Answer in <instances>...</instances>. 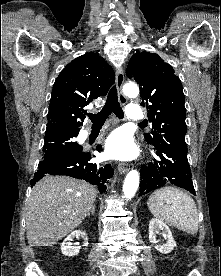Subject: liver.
Segmentation results:
<instances>
[{
    "label": "liver",
    "mask_w": 221,
    "mask_h": 276,
    "mask_svg": "<svg viewBox=\"0 0 221 276\" xmlns=\"http://www.w3.org/2000/svg\"><path fill=\"white\" fill-rule=\"evenodd\" d=\"M97 189L64 176H45L26 206V235L31 246H51L77 228L90 212Z\"/></svg>",
    "instance_id": "liver-1"
}]
</instances>
